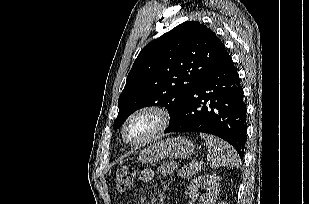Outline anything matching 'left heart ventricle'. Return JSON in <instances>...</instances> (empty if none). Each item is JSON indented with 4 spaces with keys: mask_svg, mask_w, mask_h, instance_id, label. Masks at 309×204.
Here are the masks:
<instances>
[{
    "mask_svg": "<svg viewBox=\"0 0 309 204\" xmlns=\"http://www.w3.org/2000/svg\"><path fill=\"white\" fill-rule=\"evenodd\" d=\"M157 118L152 114L141 115L127 126L126 135L130 141H139L149 135L157 126Z\"/></svg>",
    "mask_w": 309,
    "mask_h": 204,
    "instance_id": "b2bd125f",
    "label": "left heart ventricle"
}]
</instances>
